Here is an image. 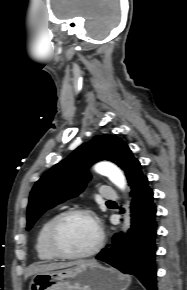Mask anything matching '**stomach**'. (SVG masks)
Listing matches in <instances>:
<instances>
[{
  "mask_svg": "<svg viewBox=\"0 0 187 290\" xmlns=\"http://www.w3.org/2000/svg\"><path fill=\"white\" fill-rule=\"evenodd\" d=\"M129 276L94 261L70 269L36 274L29 290H126Z\"/></svg>",
  "mask_w": 187,
  "mask_h": 290,
  "instance_id": "obj_1",
  "label": "stomach"
}]
</instances>
